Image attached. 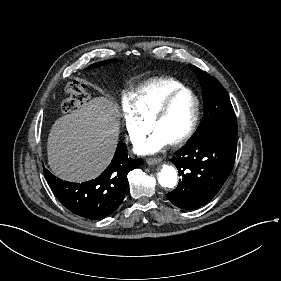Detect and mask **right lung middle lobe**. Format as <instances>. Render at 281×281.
I'll list each match as a JSON object with an SVG mask.
<instances>
[{
    "instance_id": "1",
    "label": "right lung middle lobe",
    "mask_w": 281,
    "mask_h": 281,
    "mask_svg": "<svg viewBox=\"0 0 281 281\" xmlns=\"http://www.w3.org/2000/svg\"><path fill=\"white\" fill-rule=\"evenodd\" d=\"M110 62H111V60H106V61H103V62H98V63L90 65V67H97V66H101L103 64H108Z\"/></svg>"
}]
</instances>
